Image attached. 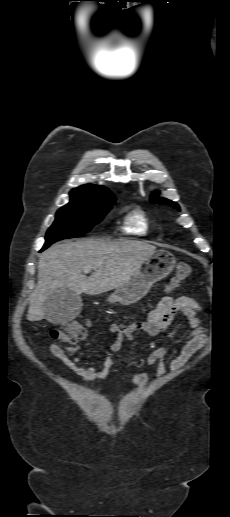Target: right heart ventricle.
I'll return each mask as SVG.
<instances>
[{"mask_svg": "<svg viewBox=\"0 0 230 517\" xmlns=\"http://www.w3.org/2000/svg\"><path fill=\"white\" fill-rule=\"evenodd\" d=\"M155 228L154 221L143 211H131L124 220V232L128 234L146 236Z\"/></svg>", "mask_w": 230, "mask_h": 517, "instance_id": "e07e8e85", "label": "right heart ventricle"}]
</instances>
